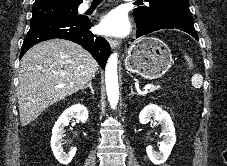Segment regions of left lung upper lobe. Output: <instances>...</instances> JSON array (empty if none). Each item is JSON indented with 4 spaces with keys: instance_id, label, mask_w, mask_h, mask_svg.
<instances>
[{
    "instance_id": "obj_1",
    "label": "left lung upper lobe",
    "mask_w": 227,
    "mask_h": 166,
    "mask_svg": "<svg viewBox=\"0 0 227 166\" xmlns=\"http://www.w3.org/2000/svg\"><path fill=\"white\" fill-rule=\"evenodd\" d=\"M149 6H140L134 9L135 20L143 23L152 21L161 12L188 8V0H146Z\"/></svg>"
}]
</instances>
